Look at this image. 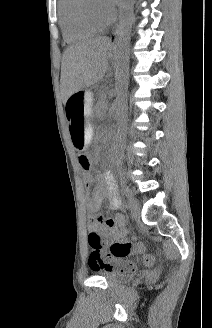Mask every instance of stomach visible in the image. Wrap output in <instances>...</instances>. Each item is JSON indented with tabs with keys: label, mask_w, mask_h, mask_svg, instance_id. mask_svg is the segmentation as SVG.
Segmentation results:
<instances>
[{
	"label": "stomach",
	"mask_w": 212,
	"mask_h": 328,
	"mask_svg": "<svg viewBox=\"0 0 212 328\" xmlns=\"http://www.w3.org/2000/svg\"><path fill=\"white\" fill-rule=\"evenodd\" d=\"M66 124H70L71 141L77 151H84L92 138V120L95 110L92 109L93 94L89 90H79L65 102Z\"/></svg>",
	"instance_id": "0dacf381"
}]
</instances>
